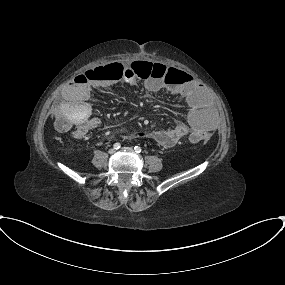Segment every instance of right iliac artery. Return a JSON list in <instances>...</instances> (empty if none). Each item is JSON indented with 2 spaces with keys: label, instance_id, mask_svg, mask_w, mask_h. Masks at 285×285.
<instances>
[{
  "label": "right iliac artery",
  "instance_id": "1",
  "mask_svg": "<svg viewBox=\"0 0 285 285\" xmlns=\"http://www.w3.org/2000/svg\"><path fill=\"white\" fill-rule=\"evenodd\" d=\"M120 147H121V144H120V143H115V144L113 145V148L116 149V150H118Z\"/></svg>",
  "mask_w": 285,
  "mask_h": 285
}]
</instances>
